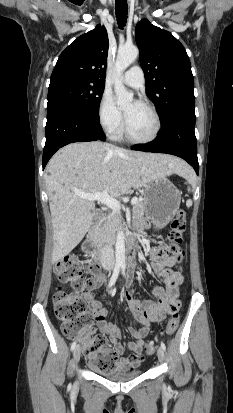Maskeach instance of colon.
I'll return each instance as SVG.
<instances>
[{
  "label": "colon",
  "instance_id": "5ec220e1",
  "mask_svg": "<svg viewBox=\"0 0 233 413\" xmlns=\"http://www.w3.org/2000/svg\"><path fill=\"white\" fill-rule=\"evenodd\" d=\"M186 214L179 210L171 222L168 232L169 251L180 263L184 257L181 248L183 233L186 228ZM99 271L96 263L83 265L80 259L73 254L67 255L56 262L54 272L58 280L69 285L73 292H67L58 287L53 296L54 310L57 319L61 323L63 333L70 338L79 336L84 343V352L89 364L100 373H114L117 370V358L115 353L108 347L107 339L103 336H94L92 327V316L88 311V305L81 292L88 291L94 284L93 276ZM88 275V277H85ZM179 305L171 308L172 315L167 323L163 334L172 335L179 326ZM144 351L147 354L154 352L152 343H147Z\"/></svg>",
  "mask_w": 233,
  "mask_h": 413
}]
</instances>
